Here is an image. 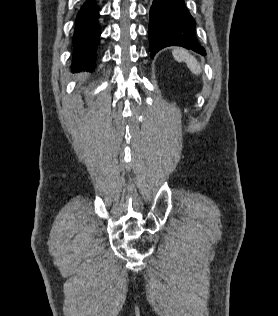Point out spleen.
Listing matches in <instances>:
<instances>
[{
	"mask_svg": "<svg viewBox=\"0 0 278 316\" xmlns=\"http://www.w3.org/2000/svg\"><path fill=\"white\" fill-rule=\"evenodd\" d=\"M173 57L178 62H185L190 71L194 74L201 72L197 59L183 48H176L172 51Z\"/></svg>",
	"mask_w": 278,
	"mask_h": 316,
	"instance_id": "spleen-1",
	"label": "spleen"
}]
</instances>
